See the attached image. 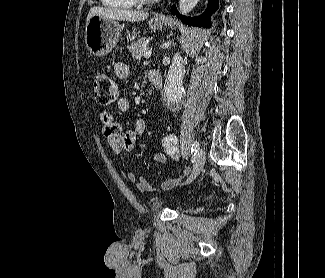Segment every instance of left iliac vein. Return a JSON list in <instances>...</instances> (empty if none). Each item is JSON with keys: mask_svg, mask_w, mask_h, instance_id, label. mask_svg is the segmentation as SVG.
Listing matches in <instances>:
<instances>
[{"mask_svg": "<svg viewBox=\"0 0 325 278\" xmlns=\"http://www.w3.org/2000/svg\"><path fill=\"white\" fill-rule=\"evenodd\" d=\"M205 161H206L205 152L202 149H200L196 154V161L193 166V172L186 180V184L191 183L196 178V176L200 173L202 167L204 166Z\"/></svg>", "mask_w": 325, "mask_h": 278, "instance_id": "1", "label": "left iliac vein"}]
</instances>
